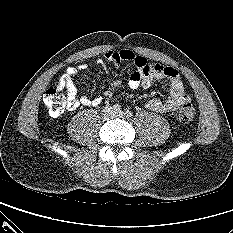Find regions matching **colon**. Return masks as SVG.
I'll return each mask as SVG.
<instances>
[{
  "instance_id": "obj_1",
  "label": "colon",
  "mask_w": 233,
  "mask_h": 233,
  "mask_svg": "<svg viewBox=\"0 0 233 233\" xmlns=\"http://www.w3.org/2000/svg\"><path fill=\"white\" fill-rule=\"evenodd\" d=\"M43 102L50 115L59 116L68 106L70 97L62 87L55 85L45 92ZM178 116L181 122L188 123L193 120L195 109L189 102L184 103L179 110Z\"/></svg>"
}]
</instances>
